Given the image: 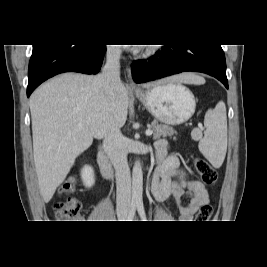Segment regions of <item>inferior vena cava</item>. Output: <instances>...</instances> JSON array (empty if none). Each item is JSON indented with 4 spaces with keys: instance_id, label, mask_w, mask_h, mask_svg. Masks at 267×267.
<instances>
[{
    "instance_id": "602c4592",
    "label": "inferior vena cava",
    "mask_w": 267,
    "mask_h": 267,
    "mask_svg": "<svg viewBox=\"0 0 267 267\" xmlns=\"http://www.w3.org/2000/svg\"><path fill=\"white\" fill-rule=\"evenodd\" d=\"M119 58V48H108L106 64L98 76V80L107 89H118L121 85ZM103 148L115 169L117 210L126 211L131 202V176L127 162V149L118 124H110L107 128Z\"/></svg>"
}]
</instances>
